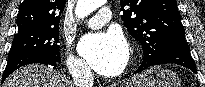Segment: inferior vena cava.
I'll return each instance as SVG.
<instances>
[{
	"label": "inferior vena cava",
	"mask_w": 205,
	"mask_h": 87,
	"mask_svg": "<svg viewBox=\"0 0 205 87\" xmlns=\"http://www.w3.org/2000/svg\"><path fill=\"white\" fill-rule=\"evenodd\" d=\"M75 87H93L94 77L87 64H77L71 70Z\"/></svg>",
	"instance_id": "602c4592"
}]
</instances>
